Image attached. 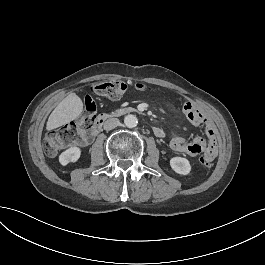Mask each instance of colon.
<instances>
[{"label": "colon", "instance_id": "obj_1", "mask_svg": "<svg viewBox=\"0 0 265 265\" xmlns=\"http://www.w3.org/2000/svg\"><path fill=\"white\" fill-rule=\"evenodd\" d=\"M144 89L145 85L142 83H130L120 79L107 81L101 80L92 84L91 93L98 97L116 100L125 95L129 90L140 91ZM85 107L87 111L93 112L96 109V104L94 101L90 100L85 103ZM77 138L78 133L75 131L74 125L65 124L48 135L44 141V149L48 155L54 156L64 143L72 142ZM199 163L203 166H208L211 164V161L206 162L202 156L199 159Z\"/></svg>", "mask_w": 265, "mask_h": 265}]
</instances>
